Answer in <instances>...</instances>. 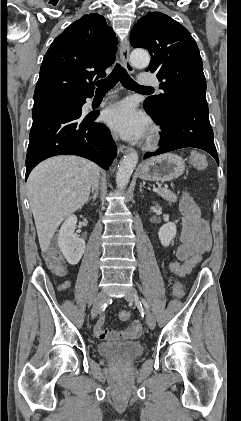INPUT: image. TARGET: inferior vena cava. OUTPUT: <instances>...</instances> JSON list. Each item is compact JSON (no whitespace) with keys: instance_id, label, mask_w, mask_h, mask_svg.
I'll use <instances>...</instances> for the list:
<instances>
[{"instance_id":"obj_1","label":"inferior vena cava","mask_w":241,"mask_h":421,"mask_svg":"<svg viewBox=\"0 0 241 421\" xmlns=\"http://www.w3.org/2000/svg\"><path fill=\"white\" fill-rule=\"evenodd\" d=\"M98 183H99V179L98 176L94 178L93 183H92V187H93V191L95 189H98Z\"/></svg>"}]
</instances>
